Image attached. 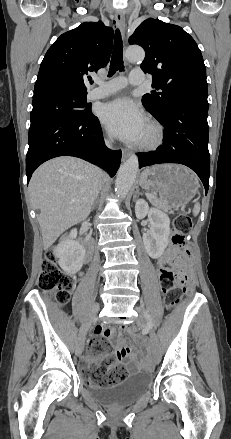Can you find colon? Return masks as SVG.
<instances>
[{
  "label": "colon",
  "instance_id": "5ec220e1",
  "mask_svg": "<svg viewBox=\"0 0 231 439\" xmlns=\"http://www.w3.org/2000/svg\"><path fill=\"white\" fill-rule=\"evenodd\" d=\"M192 220L188 213L180 212L174 219V233L172 243L177 248V260L173 263L162 265L159 269V279L165 293V301L168 306L176 305L181 296L182 288H187L189 293L190 278L186 270L183 269V262L188 257L185 248V233L190 230ZM174 265H179L175 270ZM38 285L47 296H53L60 303L65 304L70 298V293L74 286L73 278L63 273L58 265L53 251L46 254L42 263ZM130 334H135L136 329L132 326L120 328ZM91 348L99 353L105 354L109 351V346L101 338L93 337L90 341ZM127 376V370L120 365H113L107 370L95 367L91 369L90 380L100 386H111L122 382Z\"/></svg>",
  "mask_w": 231,
  "mask_h": 439
}]
</instances>
